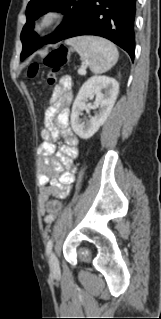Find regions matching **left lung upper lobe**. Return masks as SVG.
Instances as JSON below:
<instances>
[{
    "mask_svg": "<svg viewBox=\"0 0 161 319\" xmlns=\"http://www.w3.org/2000/svg\"><path fill=\"white\" fill-rule=\"evenodd\" d=\"M91 1L92 0H31L26 9L27 22L21 32V41L23 43L21 55L28 49H38L44 44L61 41L82 17ZM49 11L62 12L65 15V19L53 34L39 38L32 30L34 20Z\"/></svg>",
    "mask_w": 161,
    "mask_h": 319,
    "instance_id": "5c2ea615",
    "label": "left lung upper lobe"
}]
</instances>
